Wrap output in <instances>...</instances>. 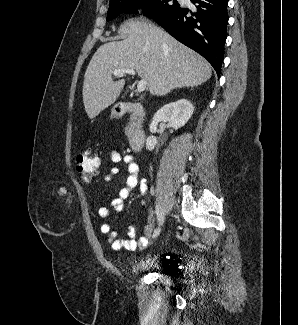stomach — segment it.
<instances>
[{
  "mask_svg": "<svg viewBox=\"0 0 298 325\" xmlns=\"http://www.w3.org/2000/svg\"><path fill=\"white\" fill-rule=\"evenodd\" d=\"M112 116H114V118H115V116H117L116 112H113Z\"/></svg>",
  "mask_w": 298,
  "mask_h": 325,
  "instance_id": "0dacf381",
  "label": "stomach"
}]
</instances>
